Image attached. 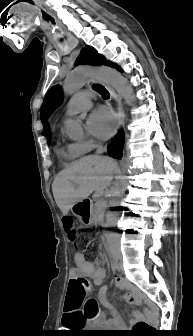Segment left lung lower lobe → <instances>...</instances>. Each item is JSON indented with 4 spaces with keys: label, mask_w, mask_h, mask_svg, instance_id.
<instances>
[{
    "label": "left lung lower lobe",
    "mask_w": 193,
    "mask_h": 336,
    "mask_svg": "<svg viewBox=\"0 0 193 336\" xmlns=\"http://www.w3.org/2000/svg\"><path fill=\"white\" fill-rule=\"evenodd\" d=\"M111 67L119 69V67L117 65H114V64H112Z\"/></svg>",
    "instance_id": "obj_1"
}]
</instances>
